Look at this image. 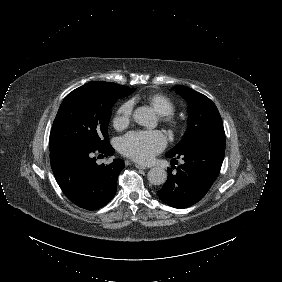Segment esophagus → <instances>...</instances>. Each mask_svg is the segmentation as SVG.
I'll list each match as a JSON object with an SVG mask.
<instances>
[{"instance_id": "esophagus-1", "label": "esophagus", "mask_w": 282, "mask_h": 282, "mask_svg": "<svg viewBox=\"0 0 282 282\" xmlns=\"http://www.w3.org/2000/svg\"><path fill=\"white\" fill-rule=\"evenodd\" d=\"M135 167L138 168V169H142V170L147 169V167H145V166H143L141 164H138V163L135 164Z\"/></svg>"}]
</instances>
